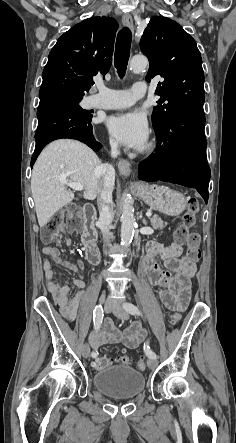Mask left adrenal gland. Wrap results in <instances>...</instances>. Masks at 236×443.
Returning <instances> with one entry per match:
<instances>
[{
    "instance_id": "a2214340",
    "label": "left adrenal gland",
    "mask_w": 236,
    "mask_h": 443,
    "mask_svg": "<svg viewBox=\"0 0 236 443\" xmlns=\"http://www.w3.org/2000/svg\"><path fill=\"white\" fill-rule=\"evenodd\" d=\"M139 218L142 219V213H140ZM142 222L144 225H147V221L145 219H142Z\"/></svg>"
}]
</instances>
